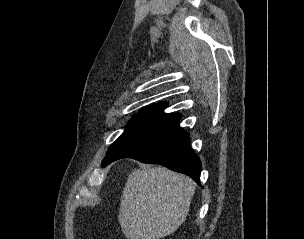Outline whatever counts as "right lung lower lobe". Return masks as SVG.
I'll use <instances>...</instances> for the list:
<instances>
[{"instance_id":"obj_1","label":"right lung lower lobe","mask_w":304,"mask_h":239,"mask_svg":"<svg viewBox=\"0 0 304 239\" xmlns=\"http://www.w3.org/2000/svg\"><path fill=\"white\" fill-rule=\"evenodd\" d=\"M126 157L144 163L164 165L200 183L201 161L189 145V134L179 127V120L169 121L130 142L107 155L102 163L105 166Z\"/></svg>"}]
</instances>
